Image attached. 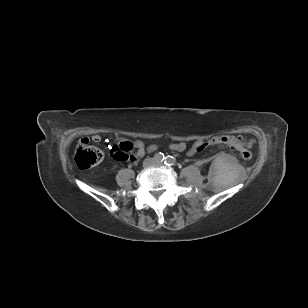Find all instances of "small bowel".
I'll use <instances>...</instances> for the list:
<instances>
[{
    "mask_svg": "<svg viewBox=\"0 0 308 308\" xmlns=\"http://www.w3.org/2000/svg\"><path fill=\"white\" fill-rule=\"evenodd\" d=\"M83 139V138H82ZM84 139H87L90 141L89 138L85 137ZM92 142L94 143H99L101 142V136L99 134H94L91 137ZM122 143H128L131 145L132 149H136V152L133 154V158L131 161L135 162L139 158L145 155L146 152H152L154 151L157 146L156 145H150L148 147H145L144 143L141 140H135L133 142H128V141H121ZM204 142L201 140L195 141L190 148H187V144L183 141L179 142H174L170 144V149L173 151L177 152H183L186 151L187 155L192 156L196 152H198L199 147L203 144ZM249 144H252V141L248 142Z\"/></svg>",
    "mask_w": 308,
    "mask_h": 308,
    "instance_id": "c3829d8e",
    "label": "small bowel"
}]
</instances>
